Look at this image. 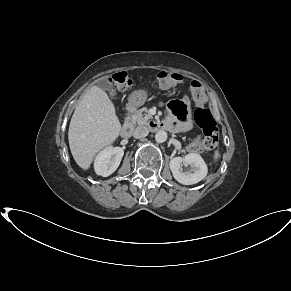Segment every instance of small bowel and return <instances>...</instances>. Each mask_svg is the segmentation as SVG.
<instances>
[{"label": "small bowel", "instance_id": "obj_1", "mask_svg": "<svg viewBox=\"0 0 291 291\" xmlns=\"http://www.w3.org/2000/svg\"><path fill=\"white\" fill-rule=\"evenodd\" d=\"M179 102L184 108V114L187 112V100L186 98ZM172 102L169 104L170 111L172 115L177 116V112L171 106ZM164 126L170 130L174 131H187L191 128V122L188 119H183L181 121L176 120L173 116H168L164 123Z\"/></svg>", "mask_w": 291, "mask_h": 291}]
</instances>
